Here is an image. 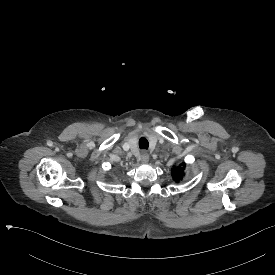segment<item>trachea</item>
I'll return each mask as SVG.
<instances>
[{"instance_id": "3493384b", "label": "trachea", "mask_w": 275, "mask_h": 275, "mask_svg": "<svg viewBox=\"0 0 275 275\" xmlns=\"http://www.w3.org/2000/svg\"><path fill=\"white\" fill-rule=\"evenodd\" d=\"M149 147V142L145 137H141L139 139V148L140 149H148Z\"/></svg>"}]
</instances>
